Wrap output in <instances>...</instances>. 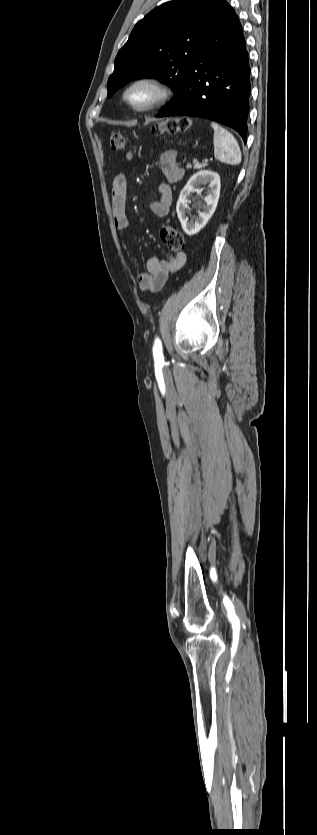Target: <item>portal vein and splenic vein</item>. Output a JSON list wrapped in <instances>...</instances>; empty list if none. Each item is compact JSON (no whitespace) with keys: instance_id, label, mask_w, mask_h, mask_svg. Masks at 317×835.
I'll return each mask as SVG.
<instances>
[{"instance_id":"18ae733b","label":"portal vein and splenic vein","mask_w":317,"mask_h":835,"mask_svg":"<svg viewBox=\"0 0 317 835\" xmlns=\"http://www.w3.org/2000/svg\"><path fill=\"white\" fill-rule=\"evenodd\" d=\"M208 161H209V158H205V159H204V162H205V163H207Z\"/></svg>"}]
</instances>
